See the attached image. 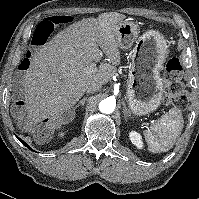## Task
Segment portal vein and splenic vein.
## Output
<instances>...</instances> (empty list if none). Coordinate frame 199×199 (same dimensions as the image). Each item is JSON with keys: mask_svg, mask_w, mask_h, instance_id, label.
Segmentation results:
<instances>
[{"mask_svg": "<svg viewBox=\"0 0 199 199\" xmlns=\"http://www.w3.org/2000/svg\"><path fill=\"white\" fill-rule=\"evenodd\" d=\"M90 68L93 70V69H95L96 68V64L95 63H91L90 64Z\"/></svg>", "mask_w": 199, "mask_h": 199, "instance_id": "portal-vein-and-splenic-vein-1", "label": "portal vein and splenic vein"}]
</instances>
